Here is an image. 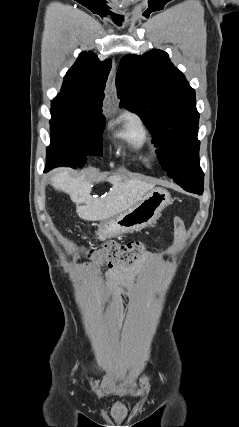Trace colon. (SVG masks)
<instances>
[{"instance_id":"colon-1","label":"colon","mask_w":239,"mask_h":427,"mask_svg":"<svg viewBox=\"0 0 239 427\" xmlns=\"http://www.w3.org/2000/svg\"><path fill=\"white\" fill-rule=\"evenodd\" d=\"M146 253L143 240H133L125 244L108 242L103 247L90 252V264L93 267L129 266L142 258Z\"/></svg>"}]
</instances>
